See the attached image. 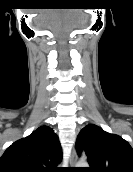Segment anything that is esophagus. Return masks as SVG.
<instances>
[{
  "mask_svg": "<svg viewBox=\"0 0 133 172\" xmlns=\"http://www.w3.org/2000/svg\"><path fill=\"white\" fill-rule=\"evenodd\" d=\"M76 162H77V153L75 149H73L71 157H70V165L74 167L76 165Z\"/></svg>",
  "mask_w": 133,
  "mask_h": 172,
  "instance_id": "1",
  "label": "esophagus"
}]
</instances>
